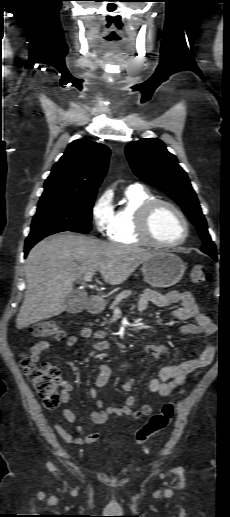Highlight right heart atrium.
Returning <instances> with one entry per match:
<instances>
[{
	"mask_svg": "<svg viewBox=\"0 0 230 517\" xmlns=\"http://www.w3.org/2000/svg\"><path fill=\"white\" fill-rule=\"evenodd\" d=\"M114 207L108 194H102L94 201L91 207V216L97 232L109 235L114 221Z\"/></svg>",
	"mask_w": 230,
	"mask_h": 517,
	"instance_id": "1",
	"label": "right heart atrium"
}]
</instances>
